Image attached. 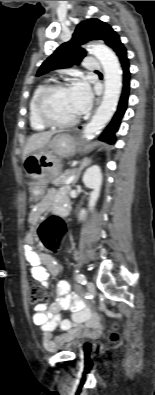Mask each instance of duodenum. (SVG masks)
Here are the masks:
<instances>
[{"label": "duodenum", "instance_id": "obj_1", "mask_svg": "<svg viewBox=\"0 0 155 395\" xmlns=\"http://www.w3.org/2000/svg\"><path fill=\"white\" fill-rule=\"evenodd\" d=\"M67 212H68V210H67V209H63V210H62V214H61V215H66V214H67Z\"/></svg>", "mask_w": 155, "mask_h": 395}]
</instances>
